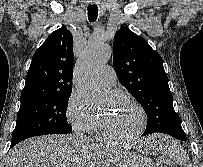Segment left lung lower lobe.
Wrapping results in <instances>:
<instances>
[{
  "label": "left lung lower lobe",
  "instance_id": "0a47b994",
  "mask_svg": "<svg viewBox=\"0 0 203 167\" xmlns=\"http://www.w3.org/2000/svg\"><path fill=\"white\" fill-rule=\"evenodd\" d=\"M170 136H173V137H175V138H177L179 140H182V141H186L187 140L186 136L183 135V134L182 135H180V134H173V135H170Z\"/></svg>",
  "mask_w": 203,
  "mask_h": 167
}]
</instances>
